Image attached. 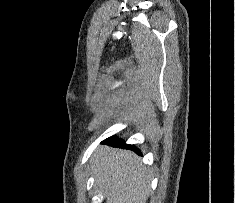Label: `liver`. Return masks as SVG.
<instances>
[{
    "label": "liver",
    "mask_w": 235,
    "mask_h": 203,
    "mask_svg": "<svg viewBox=\"0 0 235 203\" xmlns=\"http://www.w3.org/2000/svg\"><path fill=\"white\" fill-rule=\"evenodd\" d=\"M92 172L106 203H146L151 179L133 152L100 146L92 156Z\"/></svg>",
    "instance_id": "obj_1"
}]
</instances>
